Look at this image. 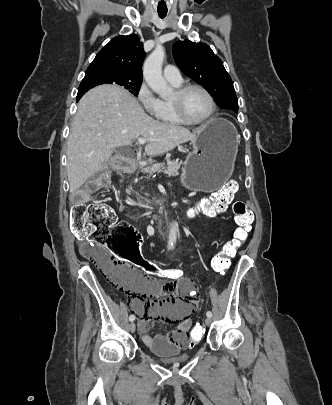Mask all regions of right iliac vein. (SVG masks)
Wrapping results in <instances>:
<instances>
[{"label":"right iliac vein","instance_id":"1","mask_svg":"<svg viewBox=\"0 0 332 405\" xmlns=\"http://www.w3.org/2000/svg\"><path fill=\"white\" fill-rule=\"evenodd\" d=\"M135 329H136L135 323H134V322H131V323L129 324V330H130V332H131V333H134V332H135Z\"/></svg>","mask_w":332,"mask_h":405}]
</instances>
